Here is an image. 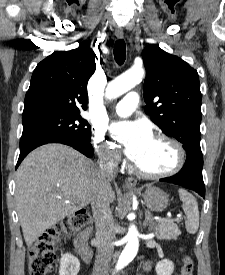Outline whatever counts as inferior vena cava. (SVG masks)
<instances>
[{
  "label": "inferior vena cava",
  "instance_id": "inferior-vena-cava-1",
  "mask_svg": "<svg viewBox=\"0 0 225 275\" xmlns=\"http://www.w3.org/2000/svg\"><path fill=\"white\" fill-rule=\"evenodd\" d=\"M118 158L119 154L117 152L107 150L100 160L101 189L95 194L91 203L96 227V240L98 242L92 275H108L113 255L114 220L108 201L107 189L114 176Z\"/></svg>",
  "mask_w": 225,
  "mask_h": 275
}]
</instances>
